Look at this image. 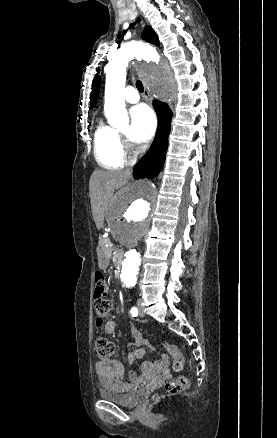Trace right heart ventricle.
Returning <instances> with one entry per match:
<instances>
[{
	"instance_id": "e07e8e85",
	"label": "right heart ventricle",
	"mask_w": 277,
	"mask_h": 438,
	"mask_svg": "<svg viewBox=\"0 0 277 438\" xmlns=\"http://www.w3.org/2000/svg\"><path fill=\"white\" fill-rule=\"evenodd\" d=\"M94 150L98 163L104 168L121 170L124 167L125 154L121 136L112 125L102 122L97 127L94 135Z\"/></svg>"
}]
</instances>
